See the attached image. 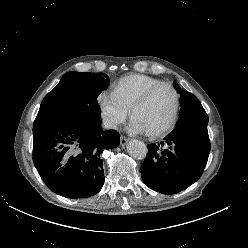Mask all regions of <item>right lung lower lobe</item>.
Wrapping results in <instances>:
<instances>
[{
	"instance_id": "1",
	"label": "right lung lower lobe",
	"mask_w": 248,
	"mask_h": 248,
	"mask_svg": "<svg viewBox=\"0 0 248 248\" xmlns=\"http://www.w3.org/2000/svg\"><path fill=\"white\" fill-rule=\"evenodd\" d=\"M33 162L48 186L68 198L97 194L104 184L101 154L119 145V133L102 131L101 121L77 120L63 123L39 122L33 125ZM77 151L65 167L60 161L67 151Z\"/></svg>"
}]
</instances>
